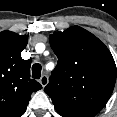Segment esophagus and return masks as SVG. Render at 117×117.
<instances>
[{
  "label": "esophagus",
  "mask_w": 117,
  "mask_h": 117,
  "mask_svg": "<svg viewBox=\"0 0 117 117\" xmlns=\"http://www.w3.org/2000/svg\"><path fill=\"white\" fill-rule=\"evenodd\" d=\"M39 82L42 87H45L48 84V77L46 75H42Z\"/></svg>",
  "instance_id": "1"
}]
</instances>
